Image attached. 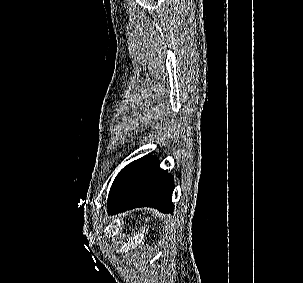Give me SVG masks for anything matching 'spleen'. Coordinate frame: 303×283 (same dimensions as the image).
<instances>
[{
  "label": "spleen",
  "mask_w": 303,
  "mask_h": 283,
  "mask_svg": "<svg viewBox=\"0 0 303 283\" xmlns=\"http://www.w3.org/2000/svg\"><path fill=\"white\" fill-rule=\"evenodd\" d=\"M145 221L148 222V218H146Z\"/></svg>",
  "instance_id": "1"
}]
</instances>
